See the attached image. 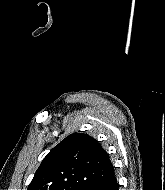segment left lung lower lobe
I'll return each mask as SVG.
<instances>
[{
  "label": "left lung lower lobe",
  "mask_w": 165,
  "mask_h": 190,
  "mask_svg": "<svg viewBox=\"0 0 165 190\" xmlns=\"http://www.w3.org/2000/svg\"><path fill=\"white\" fill-rule=\"evenodd\" d=\"M118 188L119 185L116 179L115 170L113 169L96 190H118Z\"/></svg>",
  "instance_id": "left-lung-lower-lobe-1"
}]
</instances>
